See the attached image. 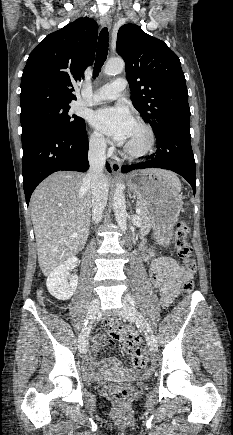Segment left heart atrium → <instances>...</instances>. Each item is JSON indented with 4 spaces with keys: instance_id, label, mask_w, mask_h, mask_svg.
Listing matches in <instances>:
<instances>
[{
    "instance_id": "1",
    "label": "left heart atrium",
    "mask_w": 233,
    "mask_h": 435,
    "mask_svg": "<svg viewBox=\"0 0 233 435\" xmlns=\"http://www.w3.org/2000/svg\"><path fill=\"white\" fill-rule=\"evenodd\" d=\"M91 123L117 144H124L134 125L129 109L123 103L101 108L91 114Z\"/></svg>"
}]
</instances>
